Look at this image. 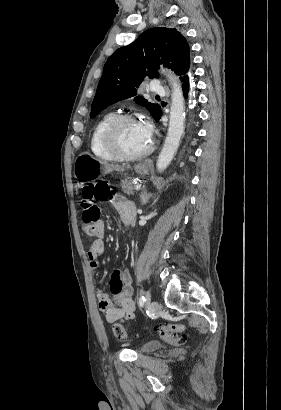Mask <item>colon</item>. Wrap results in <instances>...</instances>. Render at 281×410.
Here are the masks:
<instances>
[{
  "label": "colon",
  "instance_id": "5ec220e1",
  "mask_svg": "<svg viewBox=\"0 0 281 410\" xmlns=\"http://www.w3.org/2000/svg\"><path fill=\"white\" fill-rule=\"evenodd\" d=\"M116 196V193L111 189L105 181H99L95 185H89L83 188L81 194V206L83 215L81 225L83 230L93 235L96 232V224L101 216L100 202L111 201ZM185 330V325L181 323L161 325L157 327V331L162 339L174 346H182L187 342V337L178 333ZM113 333L119 339L127 338L126 329L121 324H114Z\"/></svg>",
  "mask_w": 281,
  "mask_h": 410
}]
</instances>
